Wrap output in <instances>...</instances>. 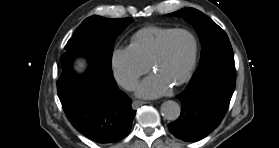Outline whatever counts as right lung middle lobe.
I'll return each instance as SVG.
<instances>
[{"instance_id":"dd1d6c3e","label":"right lung middle lobe","mask_w":279,"mask_h":148,"mask_svg":"<svg viewBox=\"0 0 279 148\" xmlns=\"http://www.w3.org/2000/svg\"><path fill=\"white\" fill-rule=\"evenodd\" d=\"M132 21V18L110 19L93 15L81 23L66 46L83 43L93 47L106 68L112 70V53L116 37Z\"/></svg>"}]
</instances>
